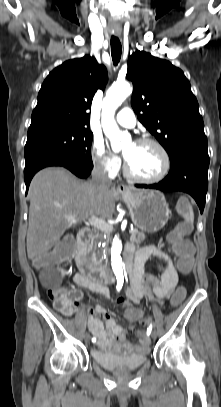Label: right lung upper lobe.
Returning <instances> with one entry per match:
<instances>
[{"label": "right lung upper lobe", "mask_w": 221, "mask_h": 407, "mask_svg": "<svg viewBox=\"0 0 221 407\" xmlns=\"http://www.w3.org/2000/svg\"><path fill=\"white\" fill-rule=\"evenodd\" d=\"M107 70L94 57L64 62L45 79L38 94L29 129L67 125L88 128V109L98 89L107 83Z\"/></svg>", "instance_id": "1"}]
</instances>
